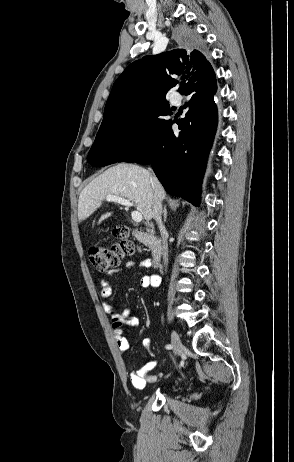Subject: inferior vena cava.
<instances>
[{"label": "inferior vena cava", "instance_id": "1", "mask_svg": "<svg viewBox=\"0 0 294 462\" xmlns=\"http://www.w3.org/2000/svg\"><path fill=\"white\" fill-rule=\"evenodd\" d=\"M162 204L161 200L158 198L157 195H154L153 204H152V217L156 221L159 226L160 231L164 230V225L162 223Z\"/></svg>", "mask_w": 294, "mask_h": 462}]
</instances>
